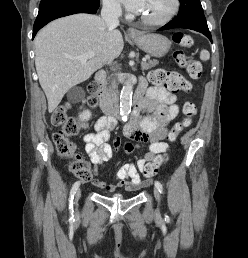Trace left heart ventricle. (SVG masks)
<instances>
[{"mask_svg": "<svg viewBox=\"0 0 248 258\" xmlns=\"http://www.w3.org/2000/svg\"><path fill=\"white\" fill-rule=\"evenodd\" d=\"M173 7V0H144L140 16L157 20L165 17Z\"/></svg>", "mask_w": 248, "mask_h": 258, "instance_id": "1", "label": "left heart ventricle"}]
</instances>
